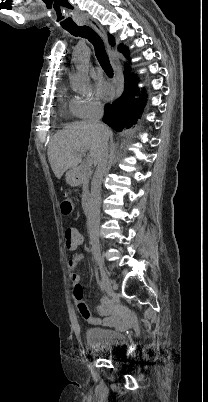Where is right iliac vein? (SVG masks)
Masks as SVG:
<instances>
[{
	"label": "right iliac vein",
	"instance_id": "obj_1",
	"mask_svg": "<svg viewBox=\"0 0 208 402\" xmlns=\"http://www.w3.org/2000/svg\"><path fill=\"white\" fill-rule=\"evenodd\" d=\"M96 262H97V264L99 266L102 282H103V284H104L109 296H113V294H114L113 282L109 279V277L107 275L105 265H104L103 261L100 258H97Z\"/></svg>",
	"mask_w": 208,
	"mask_h": 402
}]
</instances>
